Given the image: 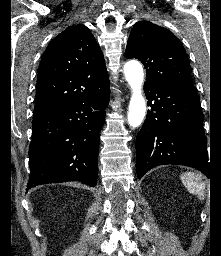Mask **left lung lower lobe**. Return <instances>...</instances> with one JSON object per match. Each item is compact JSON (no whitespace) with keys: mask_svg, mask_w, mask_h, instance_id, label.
<instances>
[{"mask_svg":"<svg viewBox=\"0 0 221 256\" xmlns=\"http://www.w3.org/2000/svg\"><path fill=\"white\" fill-rule=\"evenodd\" d=\"M144 89L151 109L136 137L137 177L164 164L190 166L208 175L207 139L197 92L163 84H145Z\"/></svg>","mask_w":221,"mask_h":256,"instance_id":"1","label":"left lung lower lobe"}]
</instances>
